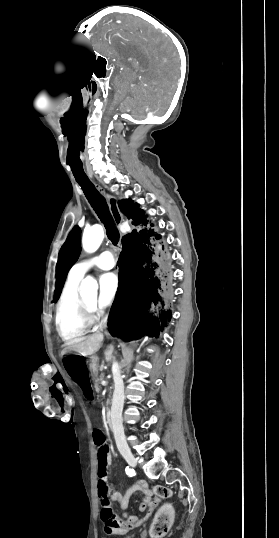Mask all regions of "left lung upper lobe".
I'll return each instance as SVG.
<instances>
[{
    "instance_id": "obj_1",
    "label": "left lung upper lobe",
    "mask_w": 279,
    "mask_h": 538,
    "mask_svg": "<svg viewBox=\"0 0 279 538\" xmlns=\"http://www.w3.org/2000/svg\"><path fill=\"white\" fill-rule=\"evenodd\" d=\"M81 252V229L74 226L68 239L63 244L56 265V284L54 292V301L56 302L61 294L67 273L77 261Z\"/></svg>"
}]
</instances>
